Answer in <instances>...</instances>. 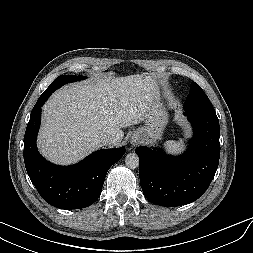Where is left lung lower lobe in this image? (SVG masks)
Masks as SVG:
<instances>
[{
  "label": "left lung lower lobe",
  "mask_w": 253,
  "mask_h": 253,
  "mask_svg": "<svg viewBox=\"0 0 253 253\" xmlns=\"http://www.w3.org/2000/svg\"><path fill=\"white\" fill-rule=\"evenodd\" d=\"M194 137L186 153L171 157L160 150L139 147L140 184L146 198L161 206H180L197 200L209 187L220 157V127L216 113H184Z\"/></svg>",
  "instance_id": "obj_1"
}]
</instances>
